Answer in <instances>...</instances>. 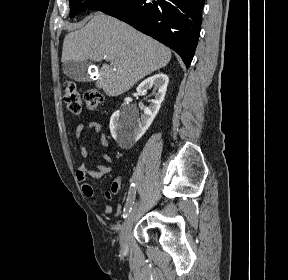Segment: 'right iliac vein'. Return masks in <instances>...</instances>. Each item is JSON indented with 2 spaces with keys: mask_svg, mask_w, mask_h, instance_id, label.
<instances>
[{
  "mask_svg": "<svg viewBox=\"0 0 288 280\" xmlns=\"http://www.w3.org/2000/svg\"><path fill=\"white\" fill-rule=\"evenodd\" d=\"M137 207H138V201L133 203V206L122 225L120 232V247L122 251H127L129 248L130 232L135 219Z\"/></svg>",
  "mask_w": 288,
  "mask_h": 280,
  "instance_id": "obj_1",
  "label": "right iliac vein"
}]
</instances>
